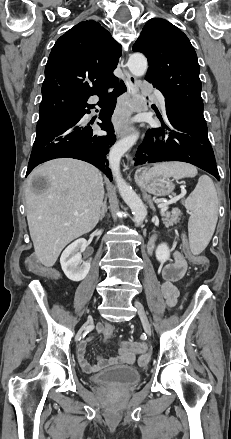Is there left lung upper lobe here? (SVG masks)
Returning <instances> with one entry per match:
<instances>
[{"label":"left lung upper lobe","instance_id":"5c2ea615","mask_svg":"<svg viewBox=\"0 0 231 439\" xmlns=\"http://www.w3.org/2000/svg\"><path fill=\"white\" fill-rule=\"evenodd\" d=\"M133 51L148 59V82L168 101L205 120L197 55L183 32L164 19L153 18L145 24Z\"/></svg>","mask_w":231,"mask_h":439}]
</instances>
